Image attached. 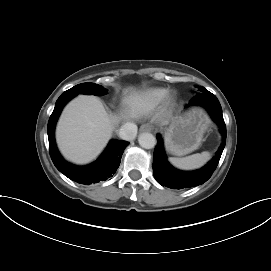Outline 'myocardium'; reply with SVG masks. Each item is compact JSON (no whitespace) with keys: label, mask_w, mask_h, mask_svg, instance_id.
<instances>
[{"label":"myocardium","mask_w":271,"mask_h":271,"mask_svg":"<svg viewBox=\"0 0 271 271\" xmlns=\"http://www.w3.org/2000/svg\"><path fill=\"white\" fill-rule=\"evenodd\" d=\"M175 95L171 92H168L166 96L161 101V109L166 112L169 111L175 104Z\"/></svg>","instance_id":"obj_1"}]
</instances>
